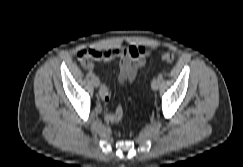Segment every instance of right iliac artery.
<instances>
[{
    "label": "right iliac artery",
    "instance_id": "obj_1",
    "mask_svg": "<svg viewBox=\"0 0 243 167\" xmlns=\"http://www.w3.org/2000/svg\"><path fill=\"white\" fill-rule=\"evenodd\" d=\"M88 75H89L90 77H94V73H92L91 71L88 73Z\"/></svg>",
    "mask_w": 243,
    "mask_h": 167
}]
</instances>
